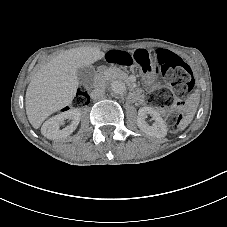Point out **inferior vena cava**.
Returning <instances> with one entry per match:
<instances>
[{"instance_id":"inferior-vena-cava-1","label":"inferior vena cava","mask_w":227,"mask_h":227,"mask_svg":"<svg viewBox=\"0 0 227 227\" xmlns=\"http://www.w3.org/2000/svg\"><path fill=\"white\" fill-rule=\"evenodd\" d=\"M104 90L100 87L94 88L91 92H90V98L92 100H99L100 98H102L104 96Z\"/></svg>"}]
</instances>
